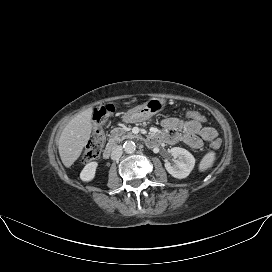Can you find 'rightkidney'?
I'll return each mask as SVG.
<instances>
[{
  "label": "right kidney",
  "mask_w": 272,
  "mask_h": 272,
  "mask_svg": "<svg viewBox=\"0 0 272 272\" xmlns=\"http://www.w3.org/2000/svg\"><path fill=\"white\" fill-rule=\"evenodd\" d=\"M98 166L97 162H90L86 164L80 173V179L84 182L92 181L95 177L96 168Z\"/></svg>",
  "instance_id": "obj_1"
}]
</instances>
